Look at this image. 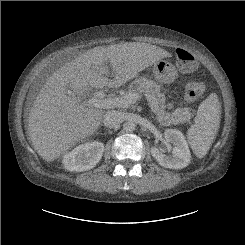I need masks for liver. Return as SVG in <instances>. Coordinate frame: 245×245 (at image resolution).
<instances>
[{"mask_svg":"<svg viewBox=\"0 0 245 245\" xmlns=\"http://www.w3.org/2000/svg\"><path fill=\"white\" fill-rule=\"evenodd\" d=\"M155 45L125 42L87 50L56 70L31 107L28 135L46 161L59 158L99 128L104 111L86 105L91 88H117L155 62L170 57ZM109 63L113 79L100 72Z\"/></svg>","mask_w":245,"mask_h":245,"instance_id":"1","label":"liver"}]
</instances>
